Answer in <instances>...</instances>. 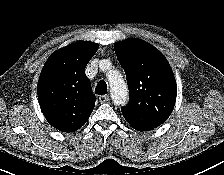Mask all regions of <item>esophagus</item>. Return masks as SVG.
<instances>
[{
  "label": "esophagus",
  "mask_w": 224,
  "mask_h": 175,
  "mask_svg": "<svg viewBox=\"0 0 224 175\" xmlns=\"http://www.w3.org/2000/svg\"><path fill=\"white\" fill-rule=\"evenodd\" d=\"M99 101H100V103H107L109 101V96L101 95V96H99Z\"/></svg>",
  "instance_id": "esophagus-1"
}]
</instances>
